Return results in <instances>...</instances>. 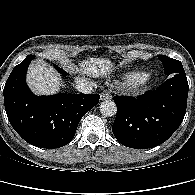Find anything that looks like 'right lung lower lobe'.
<instances>
[{"instance_id":"obj_1","label":"right lung lower lobe","mask_w":195,"mask_h":195,"mask_svg":"<svg viewBox=\"0 0 195 195\" xmlns=\"http://www.w3.org/2000/svg\"><path fill=\"white\" fill-rule=\"evenodd\" d=\"M33 55L14 67L3 94L8 120L29 144L40 148H59L74 137L81 118L100 99L98 94H55L36 96L25 80Z\"/></svg>"}]
</instances>
